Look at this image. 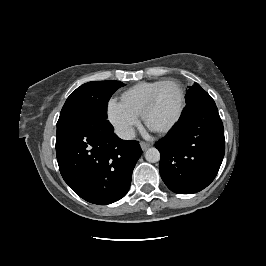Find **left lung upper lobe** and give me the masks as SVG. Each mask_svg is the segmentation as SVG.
Masks as SVG:
<instances>
[{
	"label": "left lung upper lobe",
	"instance_id": "obj_1",
	"mask_svg": "<svg viewBox=\"0 0 266 266\" xmlns=\"http://www.w3.org/2000/svg\"><path fill=\"white\" fill-rule=\"evenodd\" d=\"M187 104L191 103L193 100L207 94V92L199 85L196 83L195 86H192L189 88V90L187 91Z\"/></svg>",
	"mask_w": 266,
	"mask_h": 266
}]
</instances>
